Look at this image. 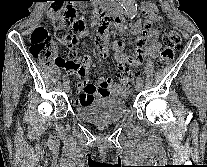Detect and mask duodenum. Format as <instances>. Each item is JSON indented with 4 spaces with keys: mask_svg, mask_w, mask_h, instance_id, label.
Wrapping results in <instances>:
<instances>
[{
    "mask_svg": "<svg viewBox=\"0 0 207 167\" xmlns=\"http://www.w3.org/2000/svg\"><path fill=\"white\" fill-rule=\"evenodd\" d=\"M95 9L94 14L97 17H102L103 23L114 22L113 27L117 29H122L123 27V14L117 10L114 5L109 0H94Z\"/></svg>",
    "mask_w": 207,
    "mask_h": 167,
    "instance_id": "1",
    "label": "duodenum"
}]
</instances>
